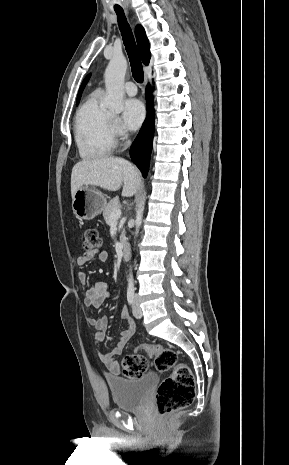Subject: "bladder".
<instances>
[{
	"label": "bladder",
	"mask_w": 289,
	"mask_h": 465,
	"mask_svg": "<svg viewBox=\"0 0 289 465\" xmlns=\"http://www.w3.org/2000/svg\"><path fill=\"white\" fill-rule=\"evenodd\" d=\"M158 377L154 373L139 378L113 377L107 380L114 404L121 410H137L145 403Z\"/></svg>",
	"instance_id": "31cf9c89"
}]
</instances>
